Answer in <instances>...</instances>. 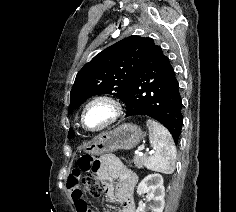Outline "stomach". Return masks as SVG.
Returning <instances> with one entry per match:
<instances>
[{
    "mask_svg": "<svg viewBox=\"0 0 236 212\" xmlns=\"http://www.w3.org/2000/svg\"><path fill=\"white\" fill-rule=\"evenodd\" d=\"M143 139V132L135 124H122L114 130L99 134L87 147L92 155L112 153L117 150H130Z\"/></svg>",
    "mask_w": 236,
    "mask_h": 212,
    "instance_id": "0dacf381",
    "label": "stomach"
}]
</instances>
